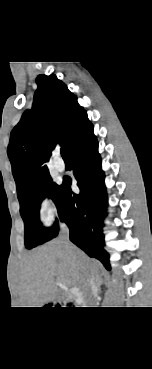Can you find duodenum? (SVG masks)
<instances>
[{
  "mask_svg": "<svg viewBox=\"0 0 152 369\" xmlns=\"http://www.w3.org/2000/svg\"><path fill=\"white\" fill-rule=\"evenodd\" d=\"M68 297L70 300L78 302V303H82L84 301V296L82 292L79 291L78 289H71L68 292Z\"/></svg>",
  "mask_w": 152,
  "mask_h": 369,
  "instance_id": "obj_1",
  "label": "duodenum"
}]
</instances>
